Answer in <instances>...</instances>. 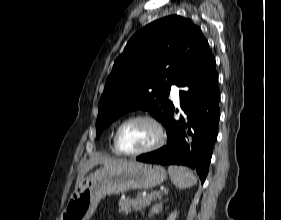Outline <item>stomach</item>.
<instances>
[{"label":"stomach","mask_w":281,"mask_h":220,"mask_svg":"<svg viewBox=\"0 0 281 220\" xmlns=\"http://www.w3.org/2000/svg\"><path fill=\"white\" fill-rule=\"evenodd\" d=\"M165 179L163 167L148 163L130 162L115 168H99L75 189L60 220H89L106 195L130 189H151Z\"/></svg>","instance_id":"obj_1"}]
</instances>
